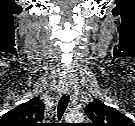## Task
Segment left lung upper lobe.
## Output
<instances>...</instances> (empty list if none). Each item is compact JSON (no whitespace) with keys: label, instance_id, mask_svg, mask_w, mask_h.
Masks as SVG:
<instances>
[{"label":"left lung upper lobe","instance_id":"left-lung-upper-lobe-1","mask_svg":"<svg viewBox=\"0 0 135 126\" xmlns=\"http://www.w3.org/2000/svg\"><path fill=\"white\" fill-rule=\"evenodd\" d=\"M85 113L92 121L91 126H133L127 116L115 108L106 106L99 99L89 103L85 108Z\"/></svg>","mask_w":135,"mask_h":126}]
</instances>
